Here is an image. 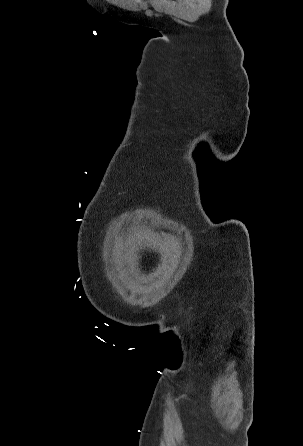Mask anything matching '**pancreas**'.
<instances>
[{
    "label": "pancreas",
    "mask_w": 303,
    "mask_h": 446,
    "mask_svg": "<svg viewBox=\"0 0 303 446\" xmlns=\"http://www.w3.org/2000/svg\"><path fill=\"white\" fill-rule=\"evenodd\" d=\"M133 7L136 8V4H134Z\"/></svg>",
    "instance_id": "1"
}]
</instances>
